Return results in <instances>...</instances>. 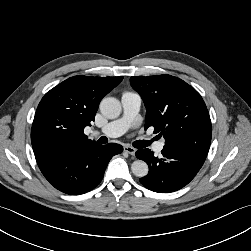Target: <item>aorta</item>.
Masks as SVG:
<instances>
[{"instance_id": "762f6f07", "label": "aorta", "mask_w": 251, "mask_h": 251, "mask_svg": "<svg viewBox=\"0 0 251 251\" xmlns=\"http://www.w3.org/2000/svg\"><path fill=\"white\" fill-rule=\"evenodd\" d=\"M121 103L114 97L104 98L100 103V111L108 119H115L121 114ZM133 174L137 177H144L148 174L149 168L146 162L136 160L131 165Z\"/></svg>"}]
</instances>
